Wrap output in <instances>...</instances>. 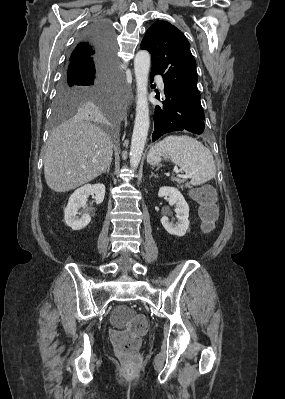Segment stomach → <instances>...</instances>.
Instances as JSON below:
<instances>
[{
    "label": "stomach",
    "instance_id": "0dacf381",
    "mask_svg": "<svg viewBox=\"0 0 285 399\" xmlns=\"http://www.w3.org/2000/svg\"><path fill=\"white\" fill-rule=\"evenodd\" d=\"M161 156H162V152L153 148L152 150H150V152L147 156V162L153 166L158 165L159 162L161 161Z\"/></svg>",
    "mask_w": 285,
    "mask_h": 399
}]
</instances>
